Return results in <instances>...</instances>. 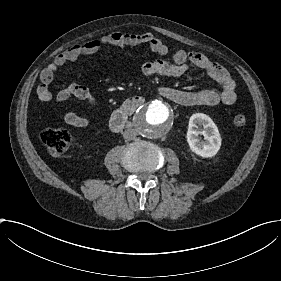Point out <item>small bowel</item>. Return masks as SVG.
I'll use <instances>...</instances> for the list:
<instances>
[{
    "label": "small bowel",
    "mask_w": 281,
    "mask_h": 281,
    "mask_svg": "<svg viewBox=\"0 0 281 281\" xmlns=\"http://www.w3.org/2000/svg\"><path fill=\"white\" fill-rule=\"evenodd\" d=\"M103 46L115 48L140 47L144 46L149 51L168 54L170 49L162 40L151 32H132L119 33L112 32L102 36L99 40L87 41L76 44L71 49L58 55L52 63L43 69L40 76V85L38 87V96L42 101H52L50 84L58 68L68 61H73L83 54L96 52ZM172 62L156 60L143 65L142 72L145 75H160L166 77H181L185 75L192 66L202 69L214 81L220 89H196L186 90L167 85H160L157 92L163 98L173 103L185 106H229L236 102V83L231 74L221 67L212 58L199 52H185L183 50L171 51ZM71 95L85 99L90 103H95V95L86 87L69 86L59 90L55 96L56 103L66 101ZM64 122L73 127H88L90 121L87 118L75 114H66Z\"/></svg>",
    "instance_id": "1"
}]
</instances>
